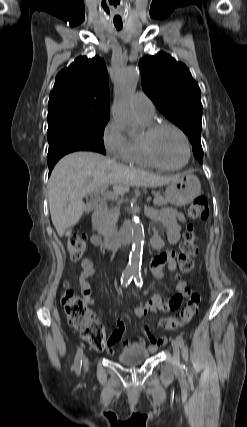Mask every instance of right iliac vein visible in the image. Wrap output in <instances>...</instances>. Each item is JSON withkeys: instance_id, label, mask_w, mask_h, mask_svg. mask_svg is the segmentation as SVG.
Instances as JSON below:
<instances>
[{"instance_id": "obj_1", "label": "right iliac vein", "mask_w": 247, "mask_h": 427, "mask_svg": "<svg viewBox=\"0 0 247 427\" xmlns=\"http://www.w3.org/2000/svg\"><path fill=\"white\" fill-rule=\"evenodd\" d=\"M88 367H89L88 358H85V359H84V370H85V371H86V370H88Z\"/></svg>"}]
</instances>
